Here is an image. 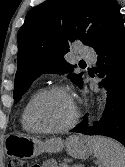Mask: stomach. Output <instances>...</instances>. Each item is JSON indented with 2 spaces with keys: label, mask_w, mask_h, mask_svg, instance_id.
<instances>
[{
  "label": "stomach",
  "mask_w": 125,
  "mask_h": 167,
  "mask_svg": "<svg viewBox=\"0 0 125 167\" xmlns=\"http://www.w3.org/2000/svg\"><path fill=\"white\" fill-rule=\"evenodd\" d=\"M63 148L72 157L82 159L88 158L93 152L90 139L84 136H70L66 141L51 138L43 142L36 137L20 133L8 136L5 152L8 156L30 159L44 152H60Z\"/></svg>",
  "instance_id": "0dacf381"
}]
</instances>
